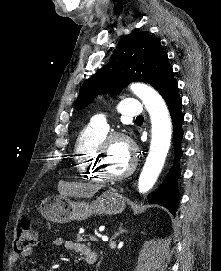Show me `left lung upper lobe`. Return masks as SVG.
I'll list each match as a JSON object with an SVG mask.
<instances>
[{"mask_svg": "<svg viewBox=\"0 0 221 271\" xmlns=\"http://www.w3.org/2000/svg\"><path fill=\"white\" fill-rule=\"evenodd\" d=\"M132 81L149 83L160 94L176 81L161 43L148 33H135L122 39L109 63L84 81L75 107L84 108L101 93L116 95Z\"/></svg>", "mask_w": 221, "mask_h": 271, "instance_id": "left-lung-upper-lobe-1", "label": "left lung upper lobe"}]
</instances>
